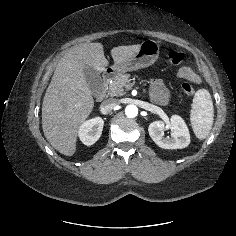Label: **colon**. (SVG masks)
<instances>
[{
	"label": "colon",
	"instance_id": "1",
	"mask_svg": "<svg viewBox=\"0 0 236 236\" xmlns=\"http://www.w3.org/2000/svg\"><path fill=\"white\" fill-rule=\"evenodd\" d=\"M184 58H185L184 54L179 50H170L168 52V60L172 64H175V65L181 64L184 61ZM181 89L188 96H192L195 93V90L192 84L188 81H184L181 84Z\"/></svg>",
	"mask_w": 236,
	"mask_h": 236
}]
</instances>
